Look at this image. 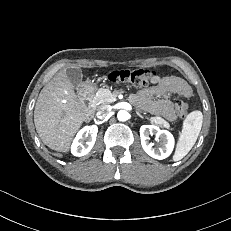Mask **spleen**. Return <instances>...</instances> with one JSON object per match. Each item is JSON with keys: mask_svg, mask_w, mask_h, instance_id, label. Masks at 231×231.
I'll return each mask as SVG.
<instances>
[{"mask_svg": "<svg viewBox=\"0 0 231 231\" xmlns=\"http://www.w3.org/2000/svg\"><path fill=\"white\" fill-rule=\"evenodd\" d=\"M202 122L203 115L199 110L192 111L187 115L179 133L176 151L173 155L174 161L181 160L192 149L201 131Z\"/></svg>", "mask_w": 231, "mask_h": 231, "instance_id": "3e777b00", "label": "spleen"}]
</instances>
